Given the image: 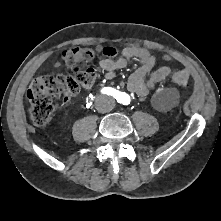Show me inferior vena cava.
I'll return each instance as SVG.
<instances>
[{"instance_id": "obj_1", "label": "inferior vena cava", "mask_w": 221, "mask_h": 221, "mask_svg": "<svg viewBox=\"0 0 221 221\" xmlns=\"http://www.w3.org/2000/svg\"><path fill=\"white\" fill-rule=\"evenodd\" d=\"M115 107V101L108 96H101L97 101V110L101 113L110 112Z\"/></svg>"}]
</instances>
